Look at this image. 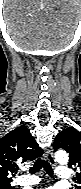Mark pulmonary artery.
Here are the masks:
<instances>
[{"label": "pulmonary artery", "instance_id": "obj_1", "mask_svg": "<svg viewBox=\"0 0 81 189\" xmlns=\"http://www.w3.org/2000/svg\"><path fill=\"white\" fill-rule=\"evenodd\" d=\"M55 172L56 177L60 181H67L71 178V171L67 167L58 166ZM39 181L40 179L36 176H20L16 179V184L19 186L28 187L37 184Z\"/></svg>", "mask_w": 81, "mask_h": 189}]
</instances>
